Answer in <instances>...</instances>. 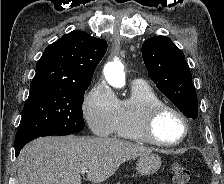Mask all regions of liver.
<instances>
[{
	"instance_id": "1",
	"label": "liver",
	"mask_w": 224,
	"mask_h": 184,
	"mask_svg": "<svg viewBox=\"0 0 224 184\" xmlns=\"http://www.w3.org/2000/svg\"><path fill=\"white\" fill-rule=\"evenodd\" d=\"M142 145L109 137H40L20 152L19 184H81L80 171L95 184L111 177L122 163L151 153Z\"/></svg>"
}]
</instances>
